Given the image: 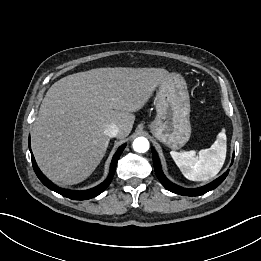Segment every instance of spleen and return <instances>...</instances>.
I'll return each instance as SVG.
<instances>
[{
  "label": "spleen",
  "instance_id": "obj_1",
  "mask_svg": "<svg viewBox=\"0 0 261 261\" xmlns=\"http://www.w3.org/2000/svg\"><path fill=\"white\" fill-rule=\"evenodd\" d=\"M226 134L222 130L216 141L208 149H202L196 155L195 151L179 153L171 151V157L182 172L192 181H208L221 170L226 158Z\"/></svg>",
  "mask_w": 261,
  "mask_h": 261
}]
</instances>
